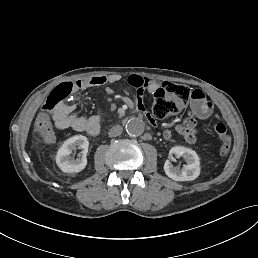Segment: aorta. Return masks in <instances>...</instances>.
<instances>
[{
  "label": "aorta",
  "instance_id": "obj_1",
  "mask_svg": "<svg viewBox=\"0 0 258 258\" xmlns=\"http://www.w3.org/2000/svg\"><path fill=\"white\" fill-rule=\"evenodd\" d=\"M126 132L129 136H139L145 129V123L138 117H133L128 120L125 126Z\"/></svg>",
  "mask_w": 258,
  "mask_h": 258
}]
</instances>
